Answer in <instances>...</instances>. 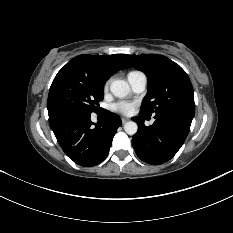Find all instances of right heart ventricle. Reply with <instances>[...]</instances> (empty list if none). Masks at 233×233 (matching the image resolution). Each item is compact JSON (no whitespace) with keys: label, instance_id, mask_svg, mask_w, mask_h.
<instances>
[{"label":"right heart ventricle","instance_id":"right-heart-ventricle-1","mask_svg":"<svg viewBox=\"0 0 233 233\" xmlns=\"http://www.w3.org/2000/svg\"><path fill=\"white\" fill-rule=\"evenodd\" d=\"M141 72H139V71H130L128 74H127V78H128V80L130 79V78H132L133 76H136V75H138V74H140Z\"/></svg>","mask_w":233,"mask_h":233}]
</instances>
